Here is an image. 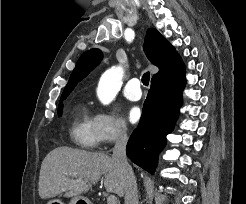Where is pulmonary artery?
Returning <instances> with one entry per match:
<instances>
[{"label": "pulmonary artery", "instance_id": "e3ab8cb5", "mask_svg": "<svg viewBox=\"0 0 246 204\" xmlns=\"http://www.w3.org/2000/svg\"><path fill=\"white\" fill-rule=\"evenodd\" d=\"M123 93L127 99L131 101H138L142 96L140 80L138 78H132L129 80L124 88Z\"/></svg>", "mask_w": 246, "mask_h": 204}]
</instances>
